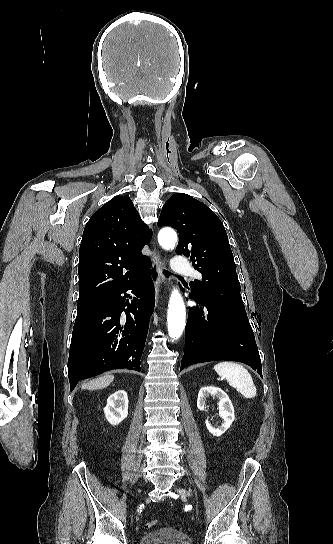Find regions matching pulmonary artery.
Here are the masks:
<instances>
[{"label": "pulmonary artery", "mask_w": 333, "mask_h": 544, "mask_svg": "<svg viewBox=\"0 0 333 544\" xmlns=\"http://www.w3.org/2000/svg\"><path fill=\"white\" fill-rule=\"evenodd\" d=\"M173 270L182 275H194L196 273L189 262L180 256L175 257L173 261Z\"/></svg>", "instance_id": "pulmonary-artery-1"}]
</instances>
